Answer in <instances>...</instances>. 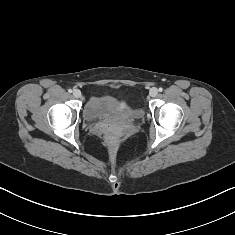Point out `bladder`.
Returning a JSON list of instances; mask_svg holds the SVG:
<instances>
[{"label":"bladder","mask_w":235,"mask_h":235,"mask_svg":"<svg viewBox=\"0 0 235 235\" xmlns=\"http://www.w3.org/2000/svg\"><path fill=\"white\" fill-rule=\"evenodd\" d=\"M143 109L139 104L128 103L112 94H94L90 96L84 107V116L92 121L139 118Z\"/></svg>","instance_id":"31cf9c89"}]
</instances>
